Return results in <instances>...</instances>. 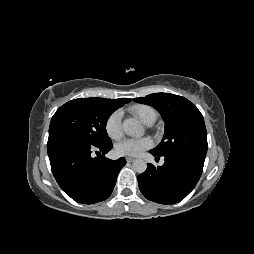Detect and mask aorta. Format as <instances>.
Segmentation results:
<instances>
[{
	"mask_svg": "<svg viewBox=\"0 0 254 254\" xmlns=\"http://www.w3.org/2000/svg\"><path fill=\"white\" fill-rule=\"evenodd\" d=\"M122 128L130 136H141L144 132L141 124L133 118L124 120ZM132 168L137 173H144L147 169V163L142 159H136L132 163Z\"/></svg>",
	"mask_w": 254,
	"mask_h": 254,
	"instance_id": "aorta-1",
	"label": "aorta"
}]
</instances>
